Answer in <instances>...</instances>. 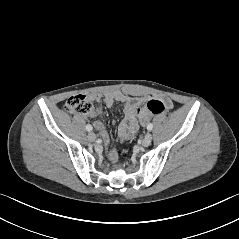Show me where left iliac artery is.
Here are the masks:
<instances>
[{
	"label": "left iliac artery",
	"mask_w": 239,
	"mask_h": 239,
	"mask_svg": "<svg viewBox=\"0 0 239 239\" xmlns=\"http://www.w3.org/2000/svg\"><path fill=\"white\" fill-rule=\"evenodd\" d=\"M153 129V124L152 123H149L147 125V130L151 131Z\"/></svg>",
	"instance_id": "obj_1"
}]
</instances>
